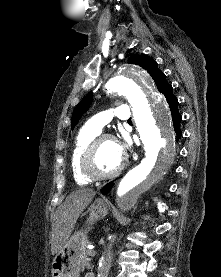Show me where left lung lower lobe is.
I'll return each mask as SVG.
<instances>
[{
    "label": "left lung lower lobe",
    "instance_id": "0a47b994",
    "mask_svg": "<svg viewBox=\"0 0 221 277\" xmlns=\"http://www.w3.org/2000/svg\"><path fill=\"white\" fill-rule=\"evenodd\" d=\"M163 94L166 97V100L171 110L173 125H174L175 132L177 134V138H180L181 137L180 122L182 120V117L178 112V100L173 94L172 86L171 85L168 86V88L164 91ZM112 186H113L112 183L105 185L102 188L101 192L103 194H107L111 190Z\"/></svg>",
    "mask_w": 221,
    "mask_h": 277
}]
</instances>
